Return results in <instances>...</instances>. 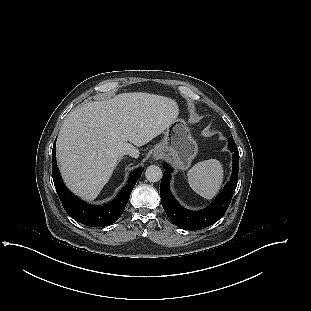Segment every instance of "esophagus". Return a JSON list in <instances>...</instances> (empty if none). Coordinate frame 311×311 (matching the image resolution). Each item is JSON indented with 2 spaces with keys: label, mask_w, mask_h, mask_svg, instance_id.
<instances>
[{
  "label": "esophagus",
  "mask_w": 311,
  "mask_h": 311,
  "mask_svg": "<svg viewBox=\"0 0 311 311\" xmlns=\"http://www.w3.org/2000/svg\"><path fill=\"white\" fill-rule=\"evenodd\" d=\"M153 158H154L155 160H158V159L160 158V154H159L158 152H157V153H154Z\"/></svg>",
  "instance_id": "1"
}]
</instances>
